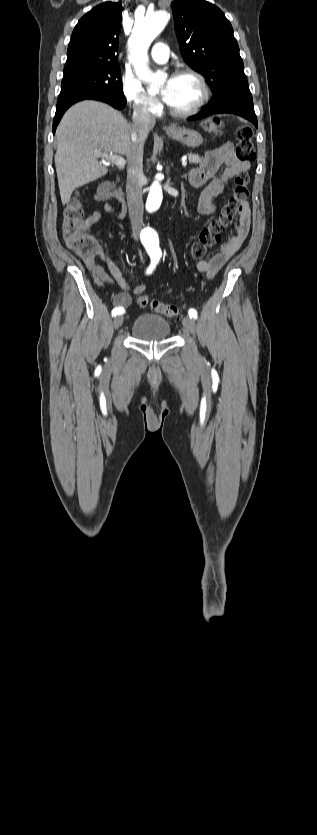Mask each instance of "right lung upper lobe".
I'll return each instance as SVG.
<instances>
[{
	"label": "right lung upper lobe",
	"instance_id": "cb5924a9",
	"mask_svg": "<svg viewBox=\"0 0 317 835\" xmlns=\"http://www.w3.org/2000/svg\"><path fill=\"white\" fill-rule=\"evenodd\" d=\"M122 10L119 3L105 2L85 14L71 35L66 64H118Z\"/></svg>",
	"mask_w": 317,
	"mask_h": 835
}]
</instances>
